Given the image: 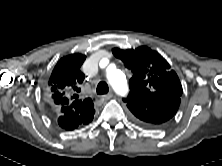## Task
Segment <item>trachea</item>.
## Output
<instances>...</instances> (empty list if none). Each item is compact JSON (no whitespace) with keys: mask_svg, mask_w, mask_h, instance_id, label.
<instances>
[{"mask_svg":"<svg viewBox=\"0 0 222 166\" xmlns=\"http://www.w3.org/2000/svg\"><path fill=\"white\" fill-rule=\"evenodd\" d=\"M96 91H97V94H98V95L107 94L108 91H109V87H108V85H107L106 82H103V81H102V82H100V83L97 85Z\"/></svg>","mask_w":222,"mask_h":166,"instance_id":"obj_1","label":"trachea"}]
</instances>
